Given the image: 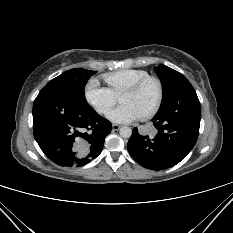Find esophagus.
Returning <instances> with one entry per match:
<instances>
[{
	"instance_id": "esophagus-1",
	"label": "esophagus",
	"mask_w": 233,
	"mask_h": 233,
	"mask_svg": "<svg viewBox=\"0 0 233 233\" xmlns=\"http://www.w3.org/2000/svg\"><path fill=\"white\" fill-rule=\"evenodd\" d=\"M112 128H113V130L117 131V130H119L121 128V126L117 125V124H113Z\"/></svg>"
}]
</instances>
